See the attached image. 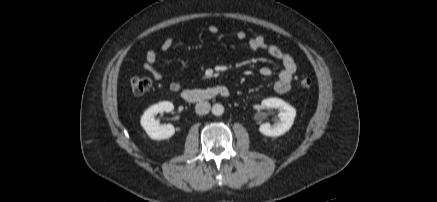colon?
<instances>
[{
    "label": "colon",
    "instance_id": "colon-1",
    "mask_svg": "<svg viewBox=\"0 0 437 202\" xmlns=\"http://www.w3.org/2000/svg\"><path fill=\"white\" fill-rule=\"evenodd\" d=\"M299 86L302 90H309L312 86V80L309 77L304 76L300 79ZM150 87L151 81L146 77H133L130 80V88L135 95L146 93Z\"/></svg>",
    "mask_w": 437,
    "mask_h": 202
}]
</instances>
